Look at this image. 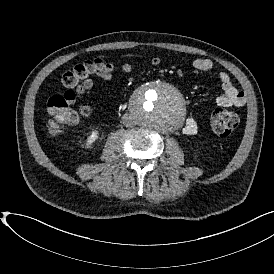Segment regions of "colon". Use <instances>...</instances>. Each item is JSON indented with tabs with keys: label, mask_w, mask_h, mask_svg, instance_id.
I'll return each mask as SVG.
<instances>
[{
	"label": "colon",
	"mask_w": 274,
	"mask_h": 274,
	"mask_svg": "<svg viewBox=\"0 0 274 274\" xmlns=\"http://www.w3.org/2000/svg\"><path fill=\"white\" fill-rule=\"evenodd\" d=\"M106 64L100 59H94L86 63L78 64L66 71L61 82L66 91L63 95H52L47 101L48 112L52 115L48 122V132L52 136H58L68 128L74 126L80 115L85 116L90 112V107L85 103L78 105V110L71 107L76 102L77 94L82 92L81 86L92 76L100 74ZM237 113L219 109L211 118L212 131L219 136L230 135L238 126Z\"/></svg>",
	"instance_id": "1"
}]
</instances>
